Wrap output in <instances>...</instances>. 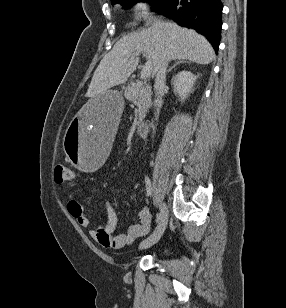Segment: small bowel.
Instances as JSON below:
<instances>
[{"mask_svg":"<svg viewBox=\"0 0 286 308\" xmlns=\"http://www.w3.org/2000/svg\"><path fill=\"white\" fill-rule=\"evenodd\" d=\"M104 207L107 215L106 223L91 229L89 232L91 238L101 246L113 250H121L149 232L151 217L146 209H142L138 213V223L130 225L125 233L115 234L118 224L117 212L112 202L108 199L105 200ZM67 210L79 226L83 228L89 227L90 219L85 213L84 206L78 199L70 197L67 201Z\"/></svg>","mask_w":286,"mask_h":308,"instance_id":"small-bowel-1","label":"small bowel"}]
</instances>
